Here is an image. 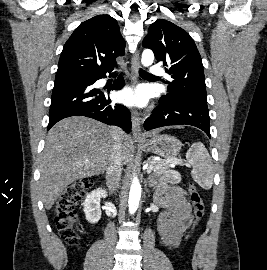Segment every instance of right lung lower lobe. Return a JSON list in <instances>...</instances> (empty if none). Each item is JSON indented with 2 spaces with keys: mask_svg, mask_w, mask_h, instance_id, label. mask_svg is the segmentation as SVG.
Masks as SVG:
<instances>
[{
  "mask_svg": "<svg viewBox=\"0 0 267 270\" xmlns=\"http://www.w3.org/2000/svg\"><path fill=\"white\" fill-rule=\"evenodd\" d=\"M106 73H93L82 78L55 80L47 129L49 130L55 123L64 118L80 115L108 125H117L126 133H130L131 115L129 110L123 105L112 104L101 90L92 87L98 79L105 78ZM124 85V79L120 75L112 85V89L120 90Z\"/></svg>",
  "mask_w": 267,
  "mask_h": 270,
  "instance_id": "1",
  "label": "right lung lower lobe"
}]
</instances>
